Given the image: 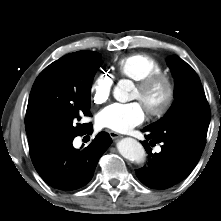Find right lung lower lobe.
I'll use <instances>...</instances> for the list:
<instances>
[{
    "instance_id": "obj_1",
    "label": "right lung lower lobe",
    "mask_w": 221,
    "mask_h": 221,
    "mask_svg": "<svg viewBox=\"0 0 221 221\" xmlns=\"http://www.w3.org/2000/svg\"><path fill=\"white\" fill-rule=\"evenodd\" d=\"M92 131V124L88 123L81 136L92 134ZM72 141L30 147V156L38 174L47 184L59 190L70 191L86 185L112 140L108 133L100 132L83 150L75 149Z\"/></svg>"
}]
</instances>
